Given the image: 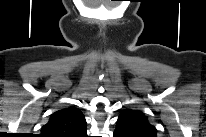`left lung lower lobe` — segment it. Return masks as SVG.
Instances as JSON below:
<instances>
[{"label": "left lung lower lobe", "instance_id": "obj_1", "mask_svg": "<svg viewBox=\"0 0 206 137\" xmlns=\"http://www.w3.org/2000/svg\"><path fill=\"white\" fill-rule=\"evenodd\" d=\"M114 136H123V137H126L125 135H123V134H120V133H118V132H114Z\"/></svg>", "mask_w": 206, "mask_h": 137}]
</instances>
